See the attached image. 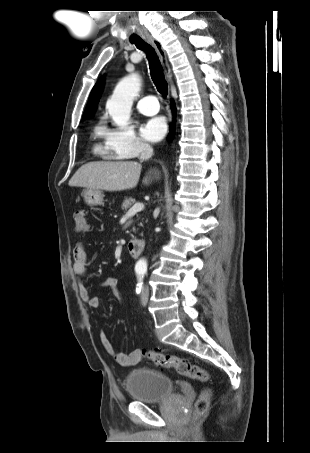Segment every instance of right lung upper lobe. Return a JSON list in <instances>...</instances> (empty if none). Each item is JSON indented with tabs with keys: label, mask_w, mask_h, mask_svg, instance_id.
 I'll list each match as a JSON object with an SVG mask.
<instances>
[{
	"label": "right lung upper lobe",
	"mask_w": 310,
	"mask_h": 453,
	"mask_svg": "<svg viewBox=\"0 0 310 453\" xmlns=\"http://www.w3.org/2000/svg\"><path fill=\"white\" fill-rule=\"evenodd\" d=\"M102 88H103V78L101 77L97 81V83L95 84V86L93 87V89L90 93L88 104L86 106L82 119H87L93 115V113L96 109L97 103L99 101V98H100V95L102 92Z\"/></svg>",
	"instance_id": "cb5924a9"
}]
</instances>
